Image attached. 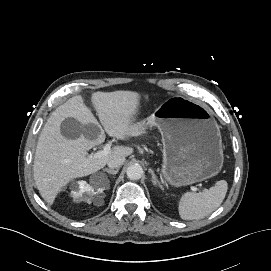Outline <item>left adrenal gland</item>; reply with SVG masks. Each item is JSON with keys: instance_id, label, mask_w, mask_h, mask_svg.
<instances>
[{"instance_id": "left-adrenal-gland-1", "label": "left adrenal gland", "mask_w": 271, "mask_h": 271, "mask_svg": "<svg viewBox=\"0 0 271 271\" xmlns=\"http://www.w3.org/2000/svg\"><path fill=\"white\" fill-rule=\"evenodd\" d=\"M149 172H150L151 175H152V182H153V185L158 186V187L161 188L162 186H161L160 182L158 181V179H157V177H156L154 171H153L152 169H149Z\"/></svg>"}]
</instances>
